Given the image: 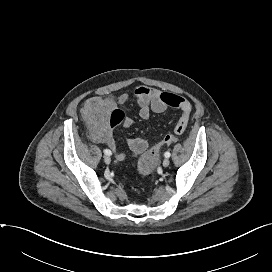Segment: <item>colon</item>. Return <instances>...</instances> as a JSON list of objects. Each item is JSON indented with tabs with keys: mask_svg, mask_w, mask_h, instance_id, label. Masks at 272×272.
I'll list each match as a JSON object with an SVG mask.
<instances>
[{
	"mask_svg": "<svg viewBox=\"0 0 272 272\" xmlns=\"http://www.w3.org/2000/svg\"><path fill=\"white\" fill-rule=\"evenodd\" d=\"M83 118L93 136H102L110 128L121 124L124 120V113L115 109L112 103L100 97L88 99L82 106ZM188 122L182 123V128ZM178 141L177 134L166 135L159 143L146 151L139 159L138 171L142 176L149 175L157 162L161 150Z\"/></svg>",
	"mask_w": 272,
	"mask_h": 272,
	"instance_id": "5ec220e1",
	"label": "colon"
}]
</instances>
